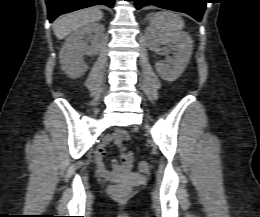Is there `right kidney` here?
<instances>
[{"mask_svg":"<svg viewBox=\"0 0 260 217\" xmlns=\"http://www.w3.org/2000/svg\"><path fill=\"white\" fill-rule=\"evenodd\" d=\"M103 34L102 24L90 23L75 30L66 39L60 52V63L68 77L78 78L87 71L84 54L93 56L100 51Z\"/></svg>","mask_w":260,"mask_h":217,"instance_id":"1","label":"right kidney"}]
</instances>
